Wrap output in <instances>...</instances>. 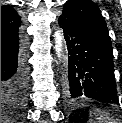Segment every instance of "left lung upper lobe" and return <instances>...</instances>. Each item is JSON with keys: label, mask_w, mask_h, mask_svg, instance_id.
Returning <instances> with one entry per match:
<instances>
[{"label": "left lung upper lobe", "mask_w": 122, "mask_h": 123, "mask_svg": "<svg viewBox=\"0 0 122 123\" xmlns=\"http://www.w3.org/2000/svg\"><path fill=\"white\" fill-rule=\"evenodd\" d=\"M63 16L111 43L106 22L97 5L90 0H68Z\"/></svg>", "instance_id": "obj_1"}]
</instances>
